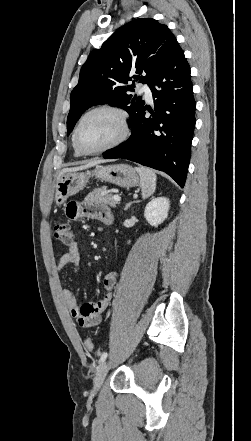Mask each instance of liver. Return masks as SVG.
Returning a JSON list of instances; mask_svg holds the SVG:
<instances>
[{"label":"liver","mask_w":251,"mask_h":441,"mask_svg":"<svg viewBox=\"0 0 251 441\" xmlns=\"http://www.w3.org/2000/svg\"><path fill=\"white\" fill-rule=\"evenodd\" d=\"M104 162H106V161H105V160H102V159H93V160H91V161L86 162L84 165H80V166L72 167V168H65V169H63V170L60 172V174H59V178H60V176L63 175L64 173H67V172H76V171H79V170H84V169H87V168H90V167L96 166V165L101 164V163H104Z\"/></svg>","instance_id":"obj_1"}]
</instances>
